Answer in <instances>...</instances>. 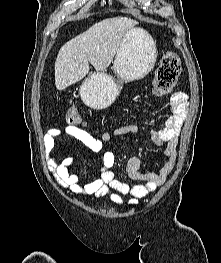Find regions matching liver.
<instances>
[{
    "mask_svg": "<svg viewBox=\"0 0 221 263\" xmlns=\"http://www.w3.org/2000/svg\"><path fill=\"white\" fill-rule=\"evenodd\" d=\"M137 24L128 17L107 18L66 42L55 61L56 88L63 90L83 79L89 62L96 71L106 70L125 34Z\"/></svg>",
    "mask_w": 221,
    "mask_h": 263,
    "instance_id": "6515ba94",
    "label": "liver"
}]
</instances>
